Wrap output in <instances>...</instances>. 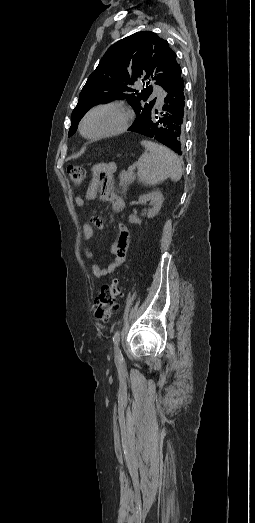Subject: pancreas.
Returning a JSON list of instances; mask_svg holds the SVG:
<instances>
[{
    "mask_svg": "<svg viewBox=\"0 0 255 523\" xmlns=\"http://www.w3.org/2000/svg\"><path fill=\"white\" fill-rule=\"evenodd\" d=\"M119 178H120L119 186H122L121 194H125L128 184H130V182H133V180H135V176L133 173L129 174L128 172H121V174H119Z\"/></svg>",
    "mask_w": 255,
    "mask_h": 523,
    "instance_id": "cf45deb5",
    "label": "pancreas"
}]
</instances>
